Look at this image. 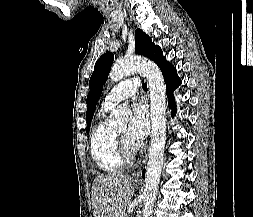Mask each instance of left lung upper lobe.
<instances>
[{"label":"left lung upper lobe","instance_id":"5c2ea615","mask_svg":"<svg viewBox=\"0 0 253 217\" xmlns=\"http://www.w3.org/2000/svg\"><path fill=\"white\" fill-rule=\"evenodd\" d=\"M136 43L135 52L140 55H144L153 60L158 66L166 61V57L163 56L162 50L159 46L152 43L151 38L146 35L141 29H137L135 32ZM114 60L113 53H106L102 55L96 62L94 72L90 78L89 88L90 92L87 96V112L86 121L87 129L89 133L90 123L94 114L96 103L98 102L105 81L108 78L110 68Z\"/></svg>","mask_w":253,"mask_h":217}]
</instances>
